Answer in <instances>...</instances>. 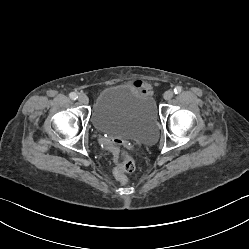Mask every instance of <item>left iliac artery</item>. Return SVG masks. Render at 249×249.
Segmentation results:
<instances>
[{"mask_svg":"<svg viewBox=\"0 0 249 249\" xmlns=\"http://www.w3.org/2000/svg\"><path fill=\"white\" fill-rule=\"evenodd\" d=\"M173 91L175 94H179V93H181L182 88L180 86H176Z\"/></svg>","mask_w":249,"mask_h":249,"instance_id":"obj_1","label":"left iliac artery"}]
</instances>
